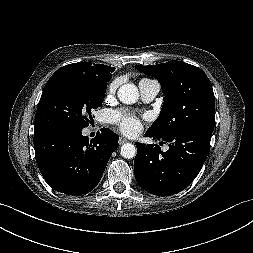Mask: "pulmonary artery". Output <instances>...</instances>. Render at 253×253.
<instances>
[{"mask_svg": "<svg viewBox=\"0 0 253 253\" xmlns=\"http://www.w3.org/2000/svg\"><path fill=\"white\" fill-rule=\"evenodd\" d=\"M140 94L145 102L152 101L160 90V85L155 80H142L139 83Z\"/></svg>", "mask_w": 253, "mask_h": 253, "instance_id": "pulmonary-artery-1", "label": "pulmonary artery"}]
</instances>
